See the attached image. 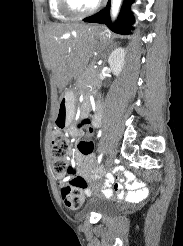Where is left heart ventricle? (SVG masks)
Segmentation results:
<instances>
[{"label":"left heart ventricle","mask_w":183,"mask_h":246,"mask_svg":"<svg viewBox=\"0 0 183 246\" xmlns=\"http://www.w3.org/2000/svg\"><path fill=\"white\" fill-rule=\"evenodd\" d=\"M73 6L77 9V10H86L89 9L91 6H93V4L97 1V0H71Z\"/></svg>","instance_id":"left-heart-ventricle-1"}]
</instances>
